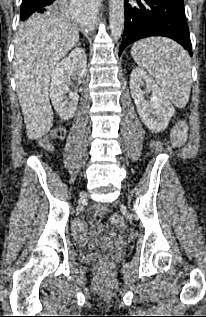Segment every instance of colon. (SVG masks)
<instances>
[{"instance_id": "obj_1", "label": "colon", "mask_w": 206, "mask_h": 317, "mask_svg": "<svg viewBox=\"0 0 206 317\" xmlns=\"http://www.w3.org/2000/svg\"><path fill=\"white\" fill-rule=\"evenodd\" d=\"M64 130L62 128L56 129L47 139L42 141V146L46 149H51L53 142L63 138ZM187 138V127L184 121L178 122L171 132V142L175 147H181ZM94 211L97 215L103 216L107 213V208L104 205H96ZM110 221L120 227L125 228L124 220L117 214L110 217ZM97 267L101 271H108L112 268V263L108 260L102 259L98 261Z\"/></svg>"}]
</instances>
